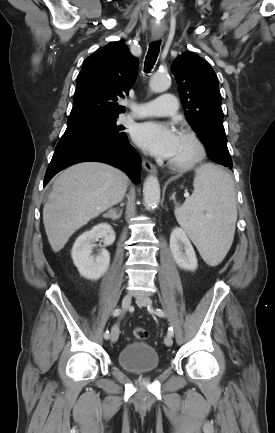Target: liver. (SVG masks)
Listing matches in <instances>:
<instances>
[{
	"label": "liver",
	"instance_id": "1",
	"mask_svg": "<svg viewBox=\"0 0 275 433\" xmlns=\"http://www.w3.org/2000/svg\"><path fill=\"white\" fill-rule=\"evenodd\" d=\"M127 176L99 162H83L64 170L54 181L43 209V223L54 252L72 234L122 200Z\"/></svg>",
	"mask_w": 275,
	"mask_h": 433
}]
</instances>
